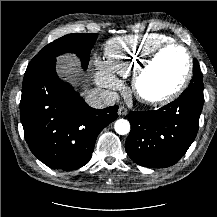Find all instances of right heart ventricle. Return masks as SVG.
<instances>
[{"mask_svg": "<svg viewBox=\"0 0 217 217\" xmlns=\"http://www.w3.org/2000/svg\"><path fill=\"white\" fill-rule=\"evenodd\" d=\"M170 41V37L158 33L112 38L105 45V64L113 73L129 77L153 50Z\"/></svg>", "mask_w": 217, "mask_h": 217, "instance_id": "right-heart-ventricle-1", "label": "right heart ventricle"}]
</instances>
